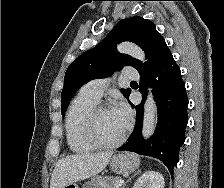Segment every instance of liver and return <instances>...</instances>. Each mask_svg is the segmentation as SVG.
<instances>
[{"label":"liver","instance_id":"obj_1","mask_svg":"<svg viewBox=\"0 0 224 188\" xmlns=\"http://www.w3.org/2000/svg\"><path fill=\"white\" fill-rule=\"evenodd\" d=\"M112 155V151L79 153L59 159L51 175L50 188H63L97 175L107 166Z\"/></svg>","mask_w":224,"mask_h":188}]
</instances>
